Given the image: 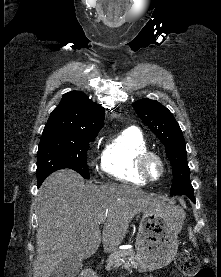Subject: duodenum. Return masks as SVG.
I'll use <instances>...</instances> for the list:
<instances>
[{"instance_id": "1", "label": "duodenum", "mask_w": 221, "mask_h": 277, "mask_svg": "<svg viewBox=\"0 0 221 277\" xmlns=\"http://www.w3.org/2000/svg\"><path fill=\"white\" fill-rule=\"evenodd\" d=\"M90 276H91V273H88V274H87V277H90Z\"/></svg>"}]
</instances>
